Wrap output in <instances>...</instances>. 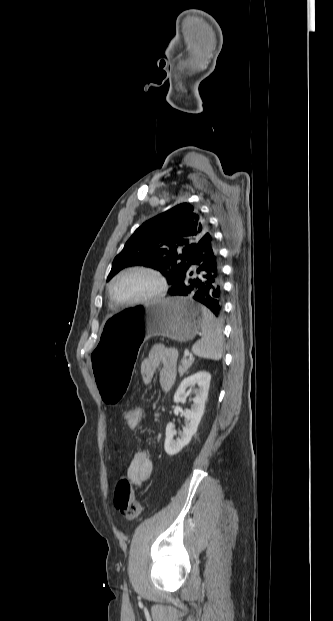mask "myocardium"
I'll return each mask as SVG.
<instances>
[{
    "label": "myocardium",
    "mask_w": 333,
    "mask_h": 621,
    "mask_svg": "<svg viewBox=\"0 0 333 621\" xmlns=\"http://www.w3.org/2000/svg\"><path fill=\"white\" fill-rule=\"evenodd\" d=\"M135 272L146 273V274L153 276L158 282V285H159L158 290L154 294L148 297H145V298H141V299H137L133 301L118 300L113 293L114 283L122 276L129 274V273H135ZM167 290H168V284L163 274L159 270L153 267L144 266V265H136V266H131L126 269H123L117 275L113 277V279L110 281L108 285V295H109L111 302L114 305L122 306V307H130V306L148 304V303L159 301L166 295Z\"/></svg>",
    "instance_id": "myocardium-1"
}]
</instances>
